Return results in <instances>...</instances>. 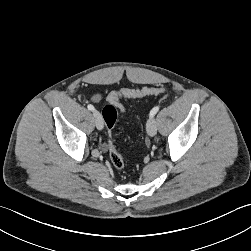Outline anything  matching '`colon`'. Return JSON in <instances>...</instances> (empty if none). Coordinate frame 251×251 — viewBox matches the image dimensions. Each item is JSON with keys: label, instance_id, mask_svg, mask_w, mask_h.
I'll list each match as a JSON object with an SVG mask.
<instances>
[{"label": "colon", "instance_id": "colon-1", "mask_svg": "<svg viewBox=\"0 0 251 251\" xmlns=\"http://www.w3.org/2000/svg\"><path fill=\"white\" fill-rule=\"evenodd\" d=\"M165 91L162 87H145L142 89H121L109 94L107 104L102 109V115L107 128L109 156L112 165L116 169L124 168L125 162L121 153L116 148L112 132L117 121L118 110L123 109L121 98L140 99L148 96L161 94Z\"/></svg>", "mask_w": 251, "mask_h": 251}]
</instances>
